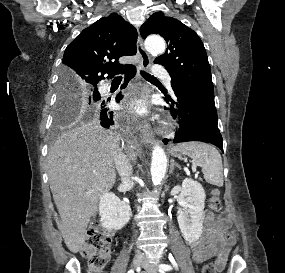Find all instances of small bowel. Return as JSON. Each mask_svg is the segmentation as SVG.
<instances>
[{
    "instance_id": "c3829d8e",
    "label": "small bowel",
    "mask_w": 285,
    "mask_h": 273,
    "mask_svg": "<svg viewBox=\"0 0 285 273\" xmlns=\"http://www.w3.org/2000/svg\"><path fill=\"white\" fill-rule=\"evenodd\" d=\"M204 222V236L192 248V259L196 263H202L208 257L216 256V268L218 271H222L234 244L233 237L228 233L230 222L224 218L216 217L210 210L205 212Z\"/></svg>"
}]
</instances>
